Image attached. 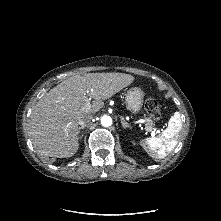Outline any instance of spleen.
<instances>
[{"label":"spleen","mask_w":221,"mask_h":221,"mask_svg":"<svg viewBox=\"0 0 221 221\" xmlns=\"http://www.w3.org/2000/svg\"><path fill=\"white\" fill-rule=\"evenodd\" d=\"M181 129L180 113L175 112L168 122V127L160 136L146 138L142 141V144L153 159H163L176 147Z\"/></svg>","instance_id":"3e777b00"}]
</instances>
